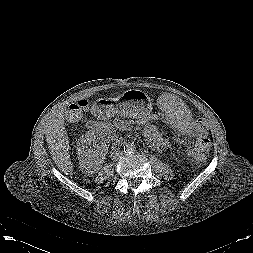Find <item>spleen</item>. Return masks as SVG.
Returning <instances> with one entry per match:
<instances>
[{"label":"spleen","instance_id":"obj_1","mask_svg":"<svg viewBox=\"0 0 253 253\" xmlns=\"http://www.w3.org/2000/svg\"><path fill=\"white\" fill-rule=\"evenodd\" d=\"M156 112L172 137L181 145V160L192 167L202 165L208 156L207 148L201 142L204 130L187 102L178 94L166 93L157 100Z\"/></svg>","mask_w":253,"mask_h":253}]
</instances>
